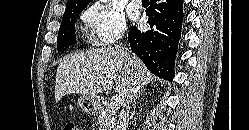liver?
<instances>
[{"mask_svg": "<svg viewBox=\"0 0 249 130\" xmlns=\"http://www.w3.org/2000/svg\"><path fill=\"white\" fill-rule=\"evenodd\" d=\"M155 77L143 62L130 52L117 48H98L66 56L58 65L55 100L67 94L96 96L108 92L116 80L120 104L131 83L143 88Z\"/></svg>", "mask_w": 249, "mask_h": 130, "instance_id": "6515ba94", "label": "liver"}]
</instances>
